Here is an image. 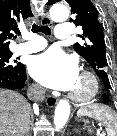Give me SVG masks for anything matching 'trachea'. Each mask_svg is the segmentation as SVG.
<instances>
[{
    "instance_id": "trachea-1",
    "label": "trachea",
    "mask_w": 117,
    "mask_h": 136,
    "mask_svg": "<svg viewBox=\"0 0 117 136\" xmlns=\"http://www.w3.org/2000/svg\"><path fill=\"white\" fill-rule=\"evenodd\" d=\"M32 32L33 33L42 32L45 35H51V30H50V28L47 25H45V26H38L36 24H33Z\"/></svg>"
}]
</instances>
